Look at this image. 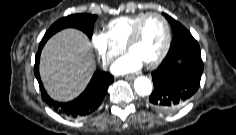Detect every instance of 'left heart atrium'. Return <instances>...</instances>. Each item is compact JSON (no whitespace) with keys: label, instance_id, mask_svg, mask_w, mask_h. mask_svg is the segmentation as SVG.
<instances>
[{"label":"left heart atrium","instance_id":"obj_1","mask_svg":"<svg viewBox=\"0 0 236 135\" xmlns=\"http://www.w3.org/2000/svg\"><path fill=\"white\" fill-rule=\"evenodd\" d=\"M143 61L133 53H128L118 59L112 65V72L115 74H127L135 72L141 68Z\"/></svg>","mask_w":236,"mask_h":135}]
</instances>
